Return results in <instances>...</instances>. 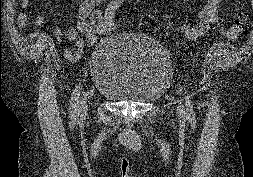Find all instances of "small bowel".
Returning <instances> with one entry per match:
<instances>
[{
	"label": "small bowel",
	"instance_id": "1",
	"mask_svg": "<svg viewBox=\"0 0 253 177\" xmlns=\"http://www.w3.org/2000/svg\"><path fill=\"white\" fill-rule=\"evenodd\" d=\"M51 2V0H47ZM78 5L76 27L68 28L65 32L67 40L72 41L76 51L64 49L65 57L70 61H78L82 58L85 47L96 44L101 36L103 23V5L106 0H73ZM222 0H208V3L199 12V20L194 25H177V31L182 33L188 40L195 41L205 35L211 25L219 20ZM23 11L18 15V24L24 27L27 23L26 10L30 7L29 0H22ZM55 37L60 38L62 33L57 28H51Z\"/></svg>",
	"mask_w": 253,
	"mask_h": 177
}]
</instances>
